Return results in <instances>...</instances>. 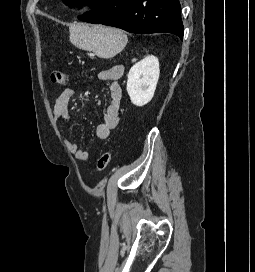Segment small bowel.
Wrapping results in <instances>:
<instances>
[{
	"instance_id": "c3829d8e",
	"label": "small bowel",
	"mask_w": 255,
	"mask_h": 272,
	"mask_svg": "<svg viewBox=\"0 0 255 272\" xmlns=\"http://www.w3.org/2000/svg\"><path fill=\"white\" fill-rule=\"evenodd\" d=\"M124 74L122 66H114L98 74L102 81L110 83V100L106 107L104 120L96 128V135L100 139L109 138L111 132L117 128L120 121V107L122 102V89L119 80ZM75 95L74 88H65L55 101L53 116L58 126H63L69 119V103ZM68 149L79 161H87L89 152L80 148L75 142L68 141Z\"/></svg>"
}]
</instances>
